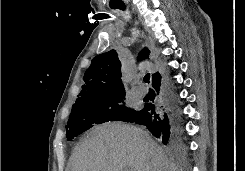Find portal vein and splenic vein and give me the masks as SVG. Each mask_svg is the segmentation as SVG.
Wrapping results in <instances>:
<instances>
[{
  "label": "portal vein and splenic vein",
  "mask_w": 245,
  "mask_h": 171,
  "mask_svg": "<svg viewBox=\"0 0 245 171\" xmlns=\"http://www.w3.org/2000/svg\"><path fill=\"white\" fill-rule=\"evenodd\" d=\"M126 171H132V170H130V169H127Z\"/></svg>",
  "instance_id": "portal-vein-and-splenic-vein-1"
}]
</instances>
